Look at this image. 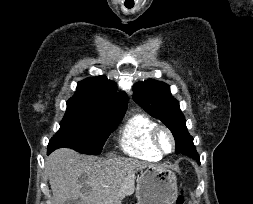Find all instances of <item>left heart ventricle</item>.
<instances>
[{
  "instance_id": "b2bd125f",
  "label": "left heart ventricle",
  "mask_w": 253,
  "mask_h": 204,
  "mask_svg": "<svg viewBox=\"0 0 253 204\" xmlns=\"http://www.w3.org/2000/svg\"><path fill=\"white\" fill-rule=\"evenodd\" d=\"M160 143H161L162 148L165 151L168 152V151L171 150V148H172L171 140H170L169 136L166 133H164V132H162L160 134Z\"/></svg>"
}]
</instances>
